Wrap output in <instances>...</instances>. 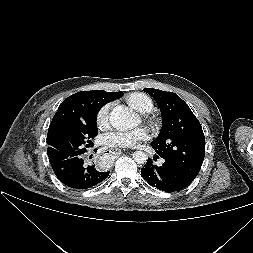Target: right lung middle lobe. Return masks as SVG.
<instances>
[{
    "label": "right lung middle lobe",
    "instance_id": "dd1d6c3e",
    "mask_svg": "<svg viewBox=\"0 0 253 253\" xmlns=\"http://www.w3.org/2000/svg\"><path fill=\"white\" fill-rule=\"evenodd\" d=\"M99 110L100 107L91 110L82 123L59 129L47 142L49 158L58 159L84 153L85 147L98 134L96 117Z\"/></svg>",
    "mask_w": 253,
    "mask_h": 253
}]
</instances>
